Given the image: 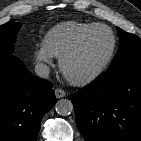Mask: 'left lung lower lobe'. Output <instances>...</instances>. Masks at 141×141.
Instances as JSON below:
<instances>
[{
  "label": "left lung lower lobe",
  "instance_id": "left-lung-lower-lobe-1",
  "mask_svg": "<svg viewBox=\"0 0 141 141\" xmlns=\"http://www.w3.org/2000/svg\"><path fill=\"white\" fill-rule=\"evenodd\" d=\"M71 101L86 141H141V61L107 70Z\"/></svg>",
  "mask_w": 141,
  "mask_h": 141
}]
</instances>
